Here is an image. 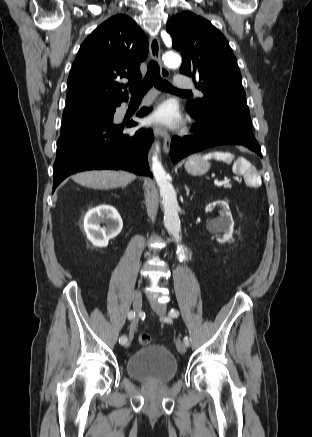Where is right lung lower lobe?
I'll return each instance as SVG.
<instances>
[{
	"instance_id": "1",
	"label": "right lung lower lobe",
	"mask_w": 312,
	"mask_h": 437,
	"mask_svg": "<svg viewBox=\"0 0 312 437\" xmlns=\"http://www.w3.org/2000/svg\"><path fill=\"white\" fill-rule=\"evenodd\" d=\"M149 111L143 107L138 116ZM113 115L108 121L60 136L53 167V191L67 176L85 170L124 169L137 175L152 176L147 161L154 139L152 130L123 133L137 123L114 124Z\"/></svg>"
}]
</instances>
